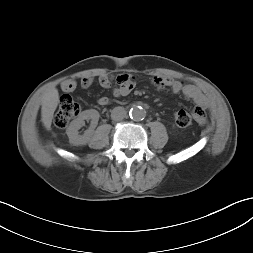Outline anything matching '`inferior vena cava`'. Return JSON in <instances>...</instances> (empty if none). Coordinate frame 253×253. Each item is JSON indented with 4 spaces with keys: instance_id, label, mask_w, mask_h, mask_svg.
Here are the masks:
<instances>
[{
    "instance_id": "obj_1",
    "label": "inferior vena cava",
    "mask_w": 253,
    "mask_h": 253,
    "mask_svg": "<svg viewBox=\"0 0 253 253\" xmlns=\"http://www.w3.org/2000/svg\"><path fill=\"white\" fill-rule=\"evenodd\" d=\"M126 110L123 107H115L111 112V118L115 121H121L126 117Z\"/></svg>"
}]
</instances>
